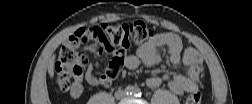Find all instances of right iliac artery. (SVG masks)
Returning <instances> with one entry per match:
<instances>
[{"label":"right iliac artery","instance_id":"1","mask_svg":"<svg viewBox=\"0 0 252 104\" xmlns=\"http://www.w3.org/2000/svg\"><path fill=\"white\" fill-rule=\"evenodd\" d=\"M125 92H126L127 95H132L134 93V89L131 86H128L125 89Z\"/></svg>","mask_w":252,"mask_h":104}]
</instances>
